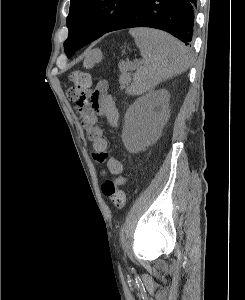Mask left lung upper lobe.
I'll return each instance as SVG.
<instances>
[{
    "mask_svg": "<svg viewBox=\"0 0 245 300\" xmlns=\"http://www.w3.org/2000/svg\"><path fill=\"white\" fill-rule=\"evenodd\" d=\"M134 1L71 0L67 17L69 36L64 43L67 56L92 37L104 35Z\"/></svg>",
    "mask_w": 245,
    "mask_h": 300,
    "instance_id": "left-lung-upper-lobe-1",
    "label": "left lung upper lobe"
}]
</instances>
